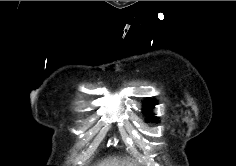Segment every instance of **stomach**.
<instances>
[{"label":"stomach","mask_w":236,"mask_h":166,"mask_svg":"<svg viewBox=\"0 0 236 166\" xmlns=\"http://www.w3.org/2000/svg\"><path fill=\"white\" fill-rule=\"evenodd\" d=\"M119 166H131L127 161L122 162Z\"/></svg>","instance_id":"stomach-1"}]
</instances>
